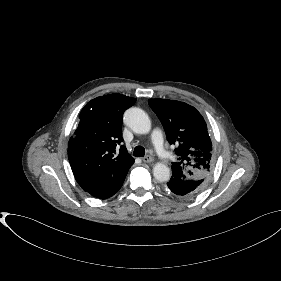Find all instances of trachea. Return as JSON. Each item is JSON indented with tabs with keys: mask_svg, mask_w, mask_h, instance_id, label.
<instances>
[{
	"mask_svg": "<svg viewBox=\"0 0 281 281\" xmlns=\"http://www.w3.org/2000/svg\"><path fill=\"white\" fill-rule=\"evenodd\" d=\"M133 155H134L135 157H144V155H145V149H144L142 146H136V147L134 148Z\"/></svg>",
	"mask_w": 281,
	"mask_h": 281,
	"instance_id": "3493384b",
	"label": "trachea"
}]
</instances>
